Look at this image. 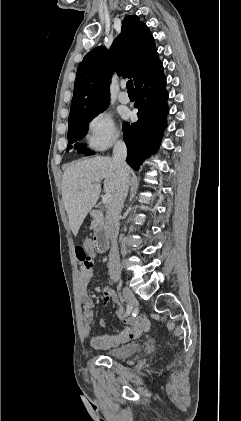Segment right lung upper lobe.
Returning a JSON list of instances; mask_svg holds the SVG:
<instances>
[{
    "label": "right lung upper lobe",
    "instance_id": "cb5924a9",
    "mask_svg": "<svg viewBox=\"0 0 241 421\" xmlns=\"http://www.w3.org/2000/svg\"><path fill=\"white\" fill-rule=\"evenodd\" d=\"M158 59L155 40L136 15L122 22V32L110 50L100 46L85 55L77 69L69 119L101 111L110 101L112 71L133 77L134 84Z\"/></svg>",
    "mask_w": 241,
    "mask_h": 421
}]
</instances>
